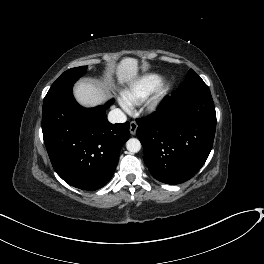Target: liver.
Segmentation results:
<instances>
[{"mask_svg": "<svg viewBox=\"0 0 264 264\" xmlns=\"http://www.w3.org/2000/svg\"><path fill=\"white\" fill-rule=\"evenodd\" d=\"M138 61L134 58H124L117 66V78L119 84L133 82L137 77ZM76 100L85 107H94L104 103L108 99L105 89L91 80H83L74 86Z\"/></svg>", "mask_w": 264, "mask_h": 264, "instance_id": "1", "label": "liver"}]
</instances>
